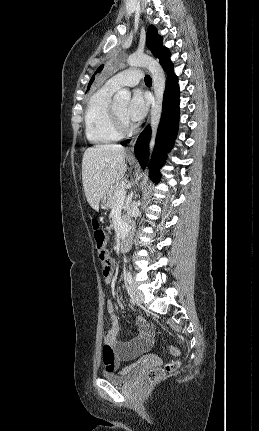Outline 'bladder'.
<instances>
[{
	"mask_svg": "<svg viewBox=\"0 0 259 431\" xmlns=\"http://www.w3.org/2000/svg\"><path fill=\"white\" fill-rule=\"evenodd\" d=\"M137 371L136 367L128 366L118 371H104L102 376L104 379L111 383H125L132 378L133 374Z\"/></svg>",
	"mask_w": 259,
	"mask_h": 431,
	"instance_id": "1",
	"label": "bladder"
}]
</instances>
